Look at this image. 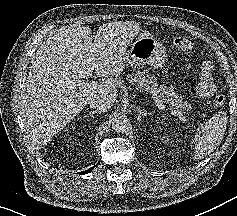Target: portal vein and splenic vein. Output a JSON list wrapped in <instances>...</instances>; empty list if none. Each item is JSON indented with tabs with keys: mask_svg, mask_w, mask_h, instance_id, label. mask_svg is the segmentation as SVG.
Listing matches in <instances>:
<instances>
[{
	"mask_svg": "<svg viewBox=\"0 0 237 216\" xmlns=\"http://www.w3.org/2000/svg\"><path fill=\"white\" fill-rule=\"evenodd\" d=\"M87 84V83H86ZM84 85V83L83 82H80V83H78V86L81 88L82 86ZM181 120H183L184 121V117H182L181 116Z\"/></svg>",
	"mask_w": 237,
	"mask_h": 216,
	"instance_id": "1",
	"label": "portal vein and splenic vein"
}]
</instances>
